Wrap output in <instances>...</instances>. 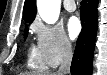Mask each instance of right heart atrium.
<instances>
[{
	"instance_id": "d8ad5b80",
	"label": "right heart atrium",
	"mask_w": 107,
	"mask_h": 75,
	"mask_svg": "<svg viewBox=\"0 0 107 75\" xmlns=\"http://www.w3.org/2000/svg\"><path fill=\"white\" fill-rule=\"evenodd\" d=\"M32 30L36 36L38 53L46 66L56 67L72 55V44L61 26L36 20Z\"/></svg>"
}]
</instances>
